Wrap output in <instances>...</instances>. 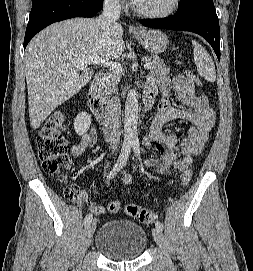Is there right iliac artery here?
<instances>
[{
	"mask_svg": "<svg viewBox=\"0 0 253 271\" xmlns=\"http://www.w3.org/2000/svg\"><path fill=\"white\" fill-rule=\"evenodd\" d=\"M130 152H131V142L125 141L123 143L121 153L118 157L116 164L113 166L112 170L107 176V181H109L112 177H114L126 165ZM92 218H93L92 214L86 215L84 219V224L86 225L89 222H91Z\"/></svg>",
	"mask_w": 253,
	"mask_h": 271,
	"instance_id": "obj_1",
	"label": "right iliac artery"
}]
</instances>
